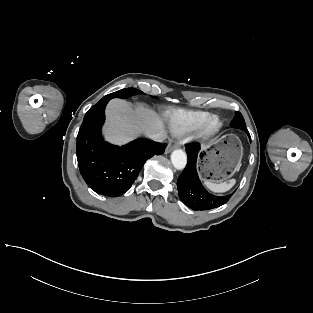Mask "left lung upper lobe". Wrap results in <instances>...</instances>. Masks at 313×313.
<instances>
[{
    "instance_id": "left-lung-upper-lobe-1",
    "label": "left lung upper lobe",
    "mask_w": 313,
    "mask_h": 313,
    "mask_svg": "<svg viewBox=\"0 0 313 313\" xmlns=\"http://www.w3.org/2000/svg\"><path fill=\"white\" fill-rule=\"evenodd\" d=\"M230 126L232 128H238L243 131H248L245 125V120L240 112L235 113L234 119L231 121Z\"/></svg>"
}]
</instances>
